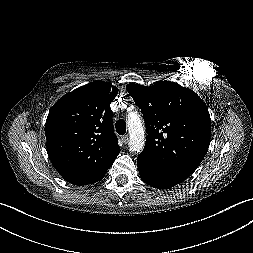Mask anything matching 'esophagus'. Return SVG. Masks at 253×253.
I'll return each instance as SVG.
<instances>
[{
    "label": "esophagus",
    "instance_id": "34e87169",
    "mask_svg": "<svg viewBox=\"0 0 253 253\" xmlns=\"http://www.w3.org/2000/svg\"><path fill=\"white\" fill-rule=\"evenodd\" d=\"M121 139H122V141H123L124 144H127L129 142V136L128 135L122 136Z\"/></svg>",
    "mask_w": 253,
    "mask_h": 253
}]
</instances>
